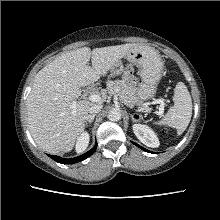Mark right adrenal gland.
<instances>
[{
	"mask_svg": "<svg viewBox=\"0 0 220 220\" xmlns=\"http://www.w3.org/2000/svg\"><path fill=\"white\" fill-rule=\"evenodd\" d=\"M94 117L95 115H92L90 121H88L90 124L93 122Z\"/></svg>",
	"mask_w": 220,
	"mask_h": 220,
	"instance_id": "obj_1",
	"label": "right adrenal gland"
}]
</instances>
